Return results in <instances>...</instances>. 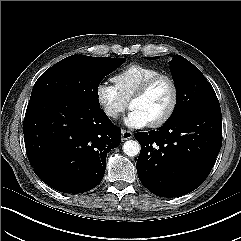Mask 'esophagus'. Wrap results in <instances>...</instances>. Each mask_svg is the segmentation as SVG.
<instances>
[{"label": "esophagus", "instance_id": "esophagus-1", "mask_svg": "<svg viewBox=\"0 0 241 241\" xmlns=\"http://www.w3.org/2000/svg\"><path fill=\"white\" fill-rule=\"evenodd\" d=\"M132 137H133V133L131 131L122 130V139L123 140H128V139H131Z\"/></svg>", "mask_w": 241, "mask_h": 241}]
</instances>
